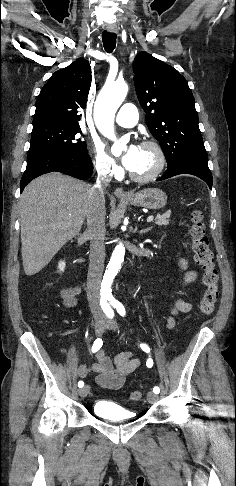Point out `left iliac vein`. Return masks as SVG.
Segmentation results:
<instances>
[{"mask_svg":"<svg viewBox=\"0 0 236 486\" xmlns=\"http://www.w3.org/2000/svg\"><path fill=\"white\" fill-rule=\"evenodd\" d=\"M107 328L110 329V330H117L118 328V325H117V322L115 320H111V321H107ZM147 400L149 403H155L157 400H158V395L154 392H148L147 394Z\"/></svg>","mask_w":236,"mask_h":486,"instance_id":"obj_1","label":"left iliac vein"}]
</instances>
